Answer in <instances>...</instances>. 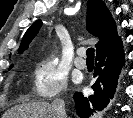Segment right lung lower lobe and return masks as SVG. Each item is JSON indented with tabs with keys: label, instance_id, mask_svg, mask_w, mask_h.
<instances>
[{
	"label": "right lung lower lobe",
	"instance_id": "1",
	"mask_svg": "<svg viewBox=\"0 0 133 118\" xmlns=\"http://www.w3.org/2000/svg\"><path fill=\"white\" fill-rule=\"evenodd\" d=\"M96 61L94 76L97 80L92 85L94 93L88 97L80 92L74 94L80 118H88L92 112L102 111L113 98L125 61L121 38L99 50Z\"/></svg>",
	"mask_w": 133,
	"mask_h": 118
}]
</instances>
